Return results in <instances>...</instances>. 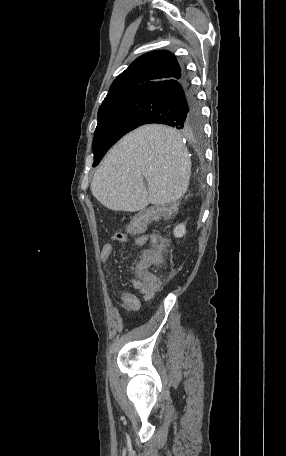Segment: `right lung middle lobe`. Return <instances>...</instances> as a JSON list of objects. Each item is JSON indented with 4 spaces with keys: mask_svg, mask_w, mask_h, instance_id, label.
Returning <instances> with one entry per match:
<instances>
[{
    "mask_svg": "<svg viewBox=\"0 0 286 456\" xmlns=\"http://www.w3.org/2000/svg\"><path fill=\"white\" fill-rule=\"evenodd\" d=\"M135 110L128 97L119 98L100 106L92 144L94 167L98 165L111 146L137 127ZM199 131L200 128L196 133Z\"/></svg>",
    "mask_w": 286,
    "mask_h": 456,
    "instance_id": "right-lung-middle-lobe-1",
    "label": "right lung middle lobe"
}]
</instances>
